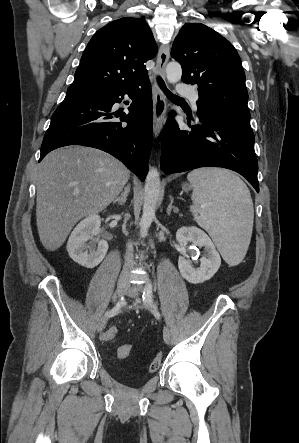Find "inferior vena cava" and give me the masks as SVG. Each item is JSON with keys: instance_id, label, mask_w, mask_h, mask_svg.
<instances>
[{"instance_id": "602c4592", "label": "inferior vena cava", "mask_w": 299, "mask_h": 443, "mask_svg": "<svg viewBox=\"0 0 299 443\" xmlns=\"http://www.w3.org/2000/svg\"><path fill=\"white\" fill-rule=\"evenodd\" d=\"M127 246H128V252H127L126 257H125V262H124V266H123V270H122L121 276L128 275L131 272V270L133 269V267H134V262H133V259H132L133 245H132L131 242H129Z\"/></svg>"}]
</instances>
